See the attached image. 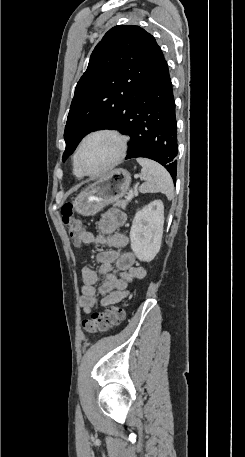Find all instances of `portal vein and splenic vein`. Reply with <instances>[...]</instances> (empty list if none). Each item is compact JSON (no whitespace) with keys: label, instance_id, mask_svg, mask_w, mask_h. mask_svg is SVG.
Here are the masks:
<instances>
[{"label":"portal vein and splenic vein","instance_id":"obj_1","mask_svg":"<svg viewBox=\"0 0 245 457\" xmlns=\"http://www.w3.org/2000/svg\"><path fill=\"white\" fill-rule=\"evenodd\" d=\"M135 176H139V174H135ZM133 196H134V190L130 189L128 194H127V196H126V198H127V200H131V198H133Z\"/></svg>","mask_w":245,"mask_h":457}]
</instances>
